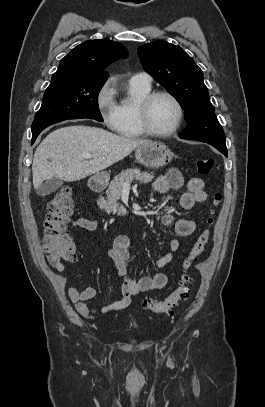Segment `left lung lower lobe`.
Returning a JSON list of instances; mask_svg holds the SVG:
<instances>
[{"label": "left lung lower lobe", "instance_id": "obj_1", "mask_svg": "<svg viewBox=\"0 0 265 407\" xmlns=\"http://www.w3.org/2000/svg\"><path fill=\"white\" fill-rule=\"evenodd\" d=\"M216 149H218L220 152H222L225 156H227V152H225L223 149L219 148V147H215Z\"/></svg>", "mask_w": 265, "mask_h": 407}]
</instances>
